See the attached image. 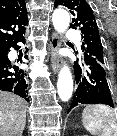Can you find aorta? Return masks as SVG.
Here are the masks:
<instances>
[{"label": "aorta", "instance_id": "aorta-1", "mask_svg": "<svg viewBox=\"0 0 117 136\" xmlns=\"http://www.w3.org/2000/svg\"><path fill=\"white\" fill-rule=\"evenodd\" d=\"M52 21L55 30L58 33H64L70 24V15L64 9H56L52 15ZM57 90L60 99L68 101L73 93V79L70 69L64 66L58 76Z\"/></svg>", "mask_w": 117, "mask_h": 136}]
</instances>
